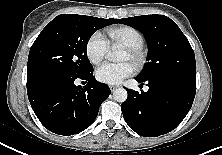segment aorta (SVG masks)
Wrapping results in <instances>:
<instances>
[{"instance_id":"762f6f07","label":"aorta","mask_w":222,"mask_h":155,"mask_svg":"<svg viewBox=\"0 0 222 155\" xmlns=\"http://www.w3.org/2000/svg\"><path fill=\"white\" fill-rule=\"evenodd\" d=\"M119 55L120 52L118 50H112L107 54V58L110 61H117L119 59ZM127 91L124 88H117L114 92H113V98L115 101L123 103L126 101L127 99Z\"/></svg>"}]
</instances>
